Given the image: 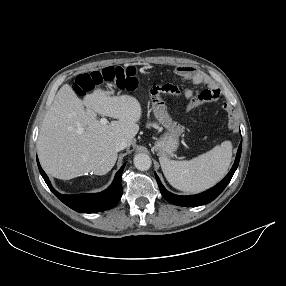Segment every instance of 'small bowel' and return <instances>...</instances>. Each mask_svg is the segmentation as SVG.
I'll return each instance as SVG.
<instances>
[{"label": "small bowel", "instance_id": "small-bowel-1", "mask_svg": "<svg viewBox=\"0 0 286 286\" xmlns=\"http://www.w3.org/2000/svg\"><path fill=\"white\" fill-rule=\"evenodd\" d=\"M176 73L181 77L192 80L195 84H207L209 86V89L201 91L194 97H192V91L190 89L185 91L186 97H191V100L186 106V111H191L204 103L215 101L221 97L220 90L210 83L208 77L203 72L198 71L191 66L184 65L178 67ZM196 97H200V101H195Z\"/></svg>", "mask_w": 286, "mask_h": 286}]
</instances>
